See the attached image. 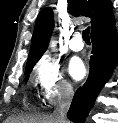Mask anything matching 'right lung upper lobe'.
Instances as JSON below:
<instances>
[{"mask_svg": "<svg viewBox=\"0 0 118 123\" xmlns=\"http://www.w3.org/2000/svg\"><path fill=\"white\" fill-rule=\"evenodd\" d=\"M70 12L91 18V38L99 36L115 24L110 0H67ZM54 28L53 11L44 8L38 15L32 36L26 70L33 68L47 49Z\"/></svg>", "mask_w": 118, "mask_h": 123, "instance_id": "right-lung-upper-lobe-1", "label": "right lung upper lobe"}]
</instances>
